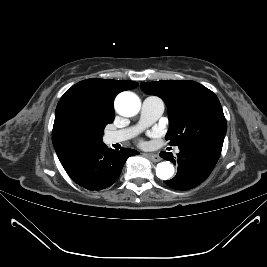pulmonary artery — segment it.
Masks as SVG:
<instances>
[{
  "instance_id": "pulmonary-artery-1",
  "label": "pulmonary artery",
  "mask_w": 267,
  "mask_h": 267,
  "mask_svg": "<svg viewBox=\"0 0 267 267\" xmlns=\"http://www.w3.org/2000/svg\"><path fill=\"white\" fill-rule=\"evenodd\" d=\"M164 109L165 104L161 98L157 96L146 97L142 103L139 123L134 127L107 133L105 137L106 142L114 144L130 139L141 129L155 122L163 114ZM178 151L179 149H176V152Z\"/></svg>"
}]
</instances>
